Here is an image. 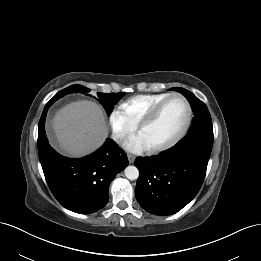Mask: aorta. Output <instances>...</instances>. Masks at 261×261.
Instances as JSON below:
<instances>
[{"label": "aorta", "instance_id": "762f6f07", "mask_svg": "<svg viewBox=\"0 0 261 261\" xmlns=\"http://www.w3.org/2000/svg\"><path fill=\"white\" fill-rule=\"evenodd\" d=\"M126 178L129 180H136L139 177V170L135 166H128L124 170Z\"/></svg>", "mask_w": 261, "mask_h": 261}]
</instances>
